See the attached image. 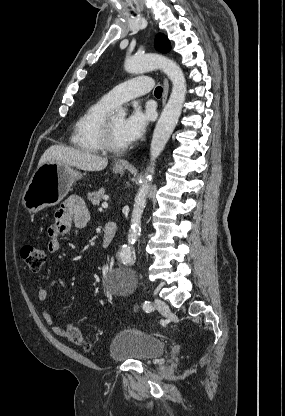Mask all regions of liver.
Masks as SVG:
<instances>
[{"instance_id": "1", "label": "liver", "mask_w": 285, "mask_h": 416, "mask_svg": "<svg viewBox=\"0 0 285 416\" xmlns=\"http://www.w3.org/2000/svg\"><path fill=\"white\" fill-rule=\"evenodd\" d=\"M47 162H62V164L74 166L78 170H87V172H101L108 164L107 158H101L86 150L66 148V146H50L41 156L38 168Z\"/></svg>"}]
</instances>
